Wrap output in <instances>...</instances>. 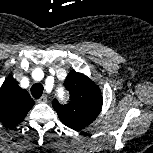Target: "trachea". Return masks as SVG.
Here are the masks:
<instances>
[{"label":"trachea","mask_w":153,"mask_h":153,"mask_svg":"<svg viewBox=\"0 0 153 153\" xmlns=\"http://www.w3.org/2000/svg\"><path fill=\"white\" fill-rule=\"evenodd\" d=\"M44 87L42 84L40 83H35L32 87H31V94L34 98L38 99L41 97L42 93H43Z\"/></svg>","instance_id":"3493384b"}]
</instances>
